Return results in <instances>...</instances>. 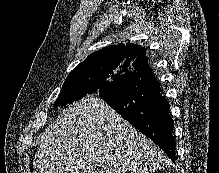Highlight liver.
I'll return each mask as SVG.
<instances>
[{"label": "liver", "instance_id": "obj_1", "mask_svg": "<svg viewBox=\"0 0 219 173\" xmlns=\"http://www.w3.org/2000/svg\"><path fill=\"white\" fill-rule=\"evenodd\" d=\"M168 160L100 97L69 105L45 130L34 173H152Z\"/></svg>", "mask_w": 219, "mask_h": 173}]
</instances>
